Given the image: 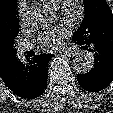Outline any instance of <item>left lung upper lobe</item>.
Segmentation results:
<instances>
[{"instance_id": "left-lung-upper-lobe-1", "label": "left lung upper lobe", "mask_w": 113, "mask_h": 113, "mask_svg": "<svg viewBox=\"0 0 113 113\" xmlns=\"http://www.w3.org/2000/svg\"><path fill=\"white\" fill-rule=\"evenodd\" d=\"M85 16L73 36L92 43L100 38H113V14L105 0H83Z\"/></svg>"}]
</instances>
